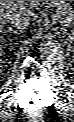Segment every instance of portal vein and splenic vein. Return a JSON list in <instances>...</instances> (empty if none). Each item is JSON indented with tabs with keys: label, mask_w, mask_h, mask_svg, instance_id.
Masks as SVG:
<instances>
[{
	"label": "portal vein and splenic vein",
	"mask_w": 74,
	"mask_h": 122,
	"mask_svg": "<svg viewBox=\"0 0 74 122\" xmlns=\"http://www.w3.org/2000/svg\"><path fill=\"white\" fill-rule=\"evenodd\" d=\"M22 1H16V2H13V1H5L3 3V6L6 10H12V9H15L17 7H21L22 6ZM53 20H59V22L63 24V21L61 20L60 16L59 15H53ZM65 26H68V25H65Z\"/></svg>",
	"instance_id": "portal-vein-and-splenic-vein-1"
}]
</instances>
